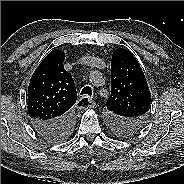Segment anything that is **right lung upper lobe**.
<instances>
[{"instance_id":"obj_1","label":"right lung upper lobe","mask_w":184,"mask_h":184,"mask_svg":"<svg viewBox=\"0 0 184 184\" xmlns=\"http://www.w3.org/2000/svg\"><path fill=\"white\" fill-rule=\"evenodd\" d=\"M65 54L51 51L34 71L28 86V114L32 120L51 121L70 113L77 92L72 75L65 71Z\"/></svg>"}]
</instances>
